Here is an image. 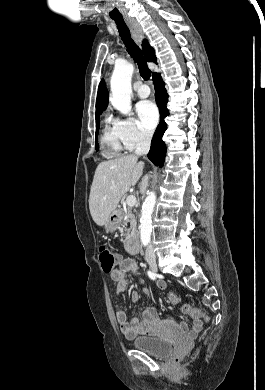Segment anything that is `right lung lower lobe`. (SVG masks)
<instances>
[{"mask_svg": "<svg viewBox=\"0 0 265 390\" xmlns=\"http://www.w3.org/2000/svg\"><path fill=\"white\" fill-rule=\"evenodd\" d=\"M153 82L156 92L155 100L158 104L160 112V123L157 126L156 132L152 138L150 151L147 156L154 163V165L162 167L166 155V145L162 140V136L167 129V124L165 123L164 118L169 115V111L166 107L168 102V94L164 88L165 83L163 82L160 74H154Z\"/></svg>", "mask_w": 265, "mask_h": 390, "instance_id": "obj_1", "label": "right lung lower lobe"}]
</instances>
